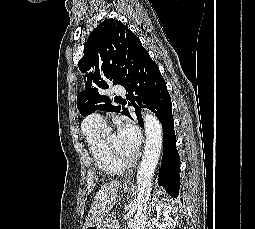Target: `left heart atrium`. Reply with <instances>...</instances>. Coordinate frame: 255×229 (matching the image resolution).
Segmentation results:
<instances>
[{"instance_id":"obj_1","label":"left heart atrium","mask_w":255,"mask_h":229,"mask_svg":"<svg viewBox=\"0 0 255 229\" xmlns=\"http://www.w3.org/2000/svg\"><path fill=\"white\" fill-rule=\"evenodd\" d=\"M117 139L128 153L135 155L139 149L141 136L136 126L129 121H121L117 130Z\"/></svg>"}]
</instances>
